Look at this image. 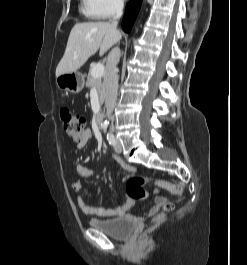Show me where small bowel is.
Here are the masks:
<instances>
[{"label":"small bowel","instance_id":"small-bowel-1","mask_svg":"<svg viewBox=\"0 0 247 265\" xmlns=\"http://www.w3.org/2000/svg\"><path fill=\"white\" fill-rule=\"evenodd\" d=\"M92 138V132L89 129H86L85 136L82 141L79 142L78 148L82 149L84 148L87 143L90 141ZM115 160L124 168L126 171L133 173L135 171V168L126 164L123 160L120 158L115 157ZM76 170L81 179H87L90 178L94 175V170L81 165L77 164L76 165ZM73 189L78 193L77 197V204L81 211L87 215H94V216H99V217H112V216H130L132 218H135L134 216L130 215L129 212L132 209L134 205V200L131 198H128L125 200V202L116 207V208H104L101 206H93L90 205L89 203L86 202L82 195L83 191V184L81 180L76 181L73 183ZM166 202V199L162 196L157 195L155 197L154 204L150 207V209L144 213L143 217H149L157 213L161 206Z\"/></svg>","mask_w":247,"mask_h":265}]
</instances>
